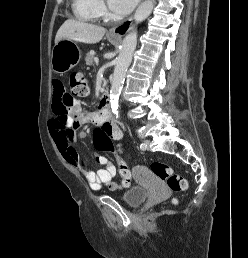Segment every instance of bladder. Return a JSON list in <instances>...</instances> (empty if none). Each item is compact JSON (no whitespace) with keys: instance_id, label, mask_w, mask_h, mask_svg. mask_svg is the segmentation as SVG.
Returning a JSON list of instances; mask_svg holds the SVG:
<instances>
[{"instance_id":"1","label":"bladder","mask_w":248,"mask_h":258,"mask_svg":"<svg viewBox=\"0 0 248 258\" xmlns=\"http://www.w3.org/2000/svg\"><path fill=\"white\" fill-rule=\"evenodd\" d=\"M147 197V189L140 186L131 187L121 196L123 202L130 207H138Z\"/></svg>"}]
</instances>
